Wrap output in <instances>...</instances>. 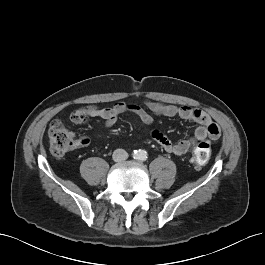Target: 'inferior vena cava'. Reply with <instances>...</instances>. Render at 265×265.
<instances>
[{"label": "inferior vena cava", "mask_w": 265, "mask_h": 265, "mask_svg": "<svg viewBox=\"0 0 265 265\" xmlns=\"http://www.w3.org/2000/svg\"><path fill=\"white\" fill-rule=\"evenodd\" d=\"M112 157L115 162H120L128 158V153L124 149H116Z\"/></svg>", "instance_id": "602c4592"}]
</instances>
